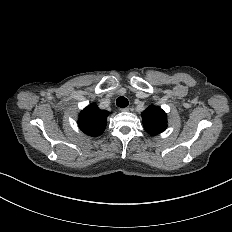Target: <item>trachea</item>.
I'll use <instances>...</instances> for the list:
<instances>
[{"instance_id": "3493384b", "label": "trachea", "mask_w": 232, "mask_h": 232, "mask_svg": "<svg viewBox=\"0 0 232 232\" xmlns=\"http://www.w3.org/2000/svg\"><path fill=\"white\" fill-rule=\"evenodd\" d=\"M128 104H129L128 100L123 96L118 97V99L116 100V105L118 107L124 108V107L128 106Z\"/></svg>"}]
</instances>
